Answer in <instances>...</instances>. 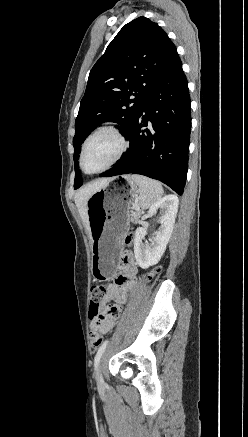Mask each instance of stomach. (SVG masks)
I'll list each match as a JSON object with an SVG mask.
<instances>
[{"mask_svg": "<svg viewBox=\"0 0 248 437\" xmlns=\"http://www.w3.org/2000/svg\"><path fill=\"white\" fill-rule=\"evenodd\" d=\"M137 194L132 177L124 175L108 180L88 199L95 279H110L116 273L123 238L129 229L130 209Z\"/></svg>", "mask_w": 248, "mask_h": 437, "instance_id": "1", "label": "stomach"}]
</instances>
